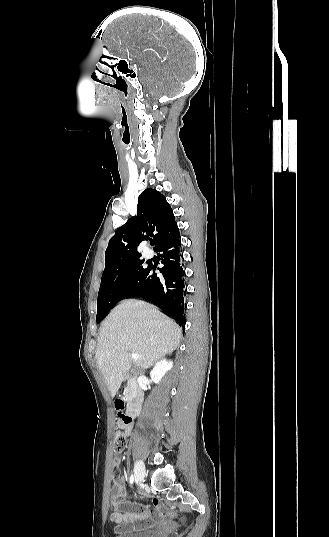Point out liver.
Masks as SVG:
<instances>
[{
    "mask_svg": "<svg viewBox=\"0 0 329 537\" xmlns=\"http://www.w3.org/2000/svg\"><path fill=\"white\" fill-rule=\"evenodd\" d=\"M179 325L155 306L126 300L117 305L101 325L96 360L115 397L132 366L130 352L138 354V366L147 369L178 347Z\"/></svg>",
    "mask_w": 329,
    "mask_h": 537,
    "instance_id": "6515ba94",
    "label": "liver"
}]
</instances>
